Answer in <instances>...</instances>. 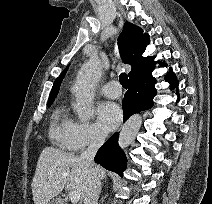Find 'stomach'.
<instances>
[{
    "mask_svg": "<svg viewBox=\"0 0 212 204\" xmlns=\"http://www.w3.org/2000/svg\"><path fill=\"white\" fill-rule=\"evenodd\" d=\"M47 204H61V201L59 199H52Z\"/></svg>",
    "mask_w": 212,
    "mask_h": 204,
    "instance_id": "1",
    "label": "stomach"
}]
</instances>
